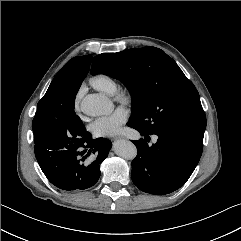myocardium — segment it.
<instances>
[{
  "instance_id": "f54148a6",
  "label": "myocardium",
  "mask_w": 241,
  "mask_h": 241,
  "mask_svg": "<svg viewBox=\"0 0 241 241\" xmlns=\"http://www.w3.org/2000/svg\"><path fill=\"white\" fill-rule=\"evenodd\" d=\"M114 98L117 102L122 104H129L131 101V95L126 90H117L114 93Z\"/></svg>"
}]
</instances>
